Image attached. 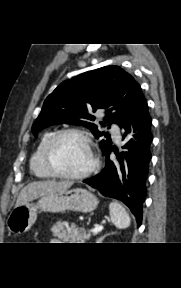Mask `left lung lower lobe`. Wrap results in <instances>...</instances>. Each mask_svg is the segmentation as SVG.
I'll use <instances>...</instances> for the list:
<instances>
[{
	"label": "left lung lower lobe",
	"mask_w": 181,
	"mask_h": 288,
	"mask_svg": "<svg viewBox=\"0 0 181 288\" xmlns=\"http://www.w3.org/2000/svg\"><path fill=\"white\" fill-rule=\"evenodd\" d=\"M151 123L148 105L140 88L120 124L122 139L129 138L123 146L127 151L121 153L125 161H120L121 166L118 168L114 166L109 158V154L114 150L111 147L105 153L106 166L102 172L84 180L103 195L124 202L134 214L138 227L142 222V204L146 196L145 184L151 160Z\"/></svg>",
	"instance_id": "0a47b994"
}]
</instances>
